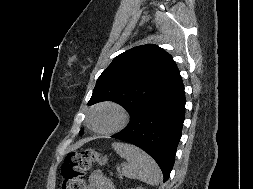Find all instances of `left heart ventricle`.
<instances>
[{
    "mask_svg": "<svg viewBox=\"0 0 253 189\" xmlns=\"http://www.w3.org/2000/svg\"><path fill=\"white\" fill-rule=\"evenodd\" d=\"M118 120V114L113 109L103 108L93 115L92 124L98 130H107L115 126Z\"/></svg>",
    "mask_w": 253,
    "mask_h": 189,
    "instance_id": "b2bd125f",
    "label": "left heart ventricle"
}]
</instances>
